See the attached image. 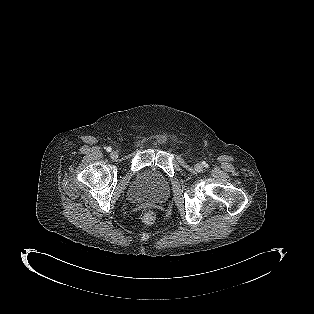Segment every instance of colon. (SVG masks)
<instances>
[{
	"label": "colon",
	"mask_w": 314,
	"mask_h": 314,
	"mask_svg": "<svg viewBox=\"0 0 314 314\" xmlns=\"http://www.w3.org/2000/svg\"><path fill=\"white\" fill-rule=\"evenodd\" d=\"M157 214L153 210H142L140 212V219L145 224H152L155 222Z\"/></svg>",
	"instance_id": "colon-1"
}]
</instances>
